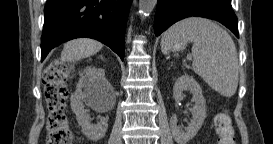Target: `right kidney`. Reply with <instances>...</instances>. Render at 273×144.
Segmentation results:
<instances>
[{"mask_svg":"<svg viewBox=\"0 0 273 144\" xmlns=\"http://www.w3.org/2000/svg\"><path fill=\"white\" fill-rule=\"evenodd\" d=\"M113 92L112 86L105 79V71L88 67L71 96V109L76 114L77 122L82 127L83 134L92 141H98L105 135L108 123L105 118L99 117L97 124H91L83 99L88 98L91 105H96Z\"/></svg>","mask_w":273,"mask_h":144,"instance_id":"right-kidney-1","label":"right kidney"}]
</instances>
